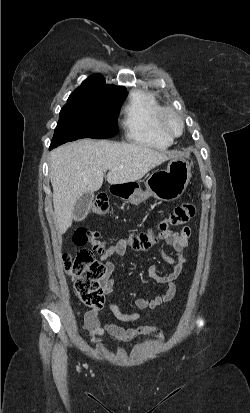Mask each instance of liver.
Listing matches in <instances>:
<instances>
[{
    "label": "liver",
    "mask_w": 250,
    "mask_h": 413,
    "mask_svg": "<svg viewBox=\"0 0 250 413\" xmlns=\"http://www.w3.org/2000/svg\"><path fill=\"white\" fill-rule=\"evenodd\" d=\"M177 156L176 152L157 151L143 144L91 139L54 149L50 154V180L59 232L64 234L72 226L78 198L101 188L105 171L109 170V184L133 182Z\"/></svg>",
    "instance_id": "liver-1"
}]
</instances>
